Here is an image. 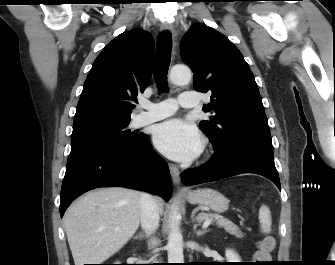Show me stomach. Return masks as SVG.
Wrapping results in <instances>:
<instances>
[{
	"mask_svg": "<svg viewBox=\"0 0 335 265\" xmlns=\"http://www.w3.org/2000/svg\"><path fill=\"white\" fill-rule=\"evenodd\" d=\"M185 197L190 204L204 205L217 213H223L229 207L227 198L220 192L210 188L189 191L185 194Z\"/></svg>",
	"mask_w": 335,
	"mask_h": 265,
	"instance_id": "1",
	"label": "stomach"
}]
</instances>
